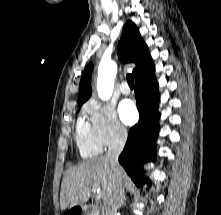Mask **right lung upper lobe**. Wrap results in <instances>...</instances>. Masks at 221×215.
Wrapping results in <instances>:
<instances>
[{
  "instance_id": "1",
  "label": "right lung upper lobe",
  "mask_w": 221,
  "mask_h": 215,
  "mask_svg": "<svg viewBox=\"0 0 221 215\" xmlns=\"http://www.w3.org/2000/svg\"><path fill=\"white\" fill-rule=\"evenodd\" d=\"M118 56L124 63L134 62L136 64V67L133 69L135 81L154 72V66L148 47L132 21H127L124 26L121 40L118 45ZM92 70L93 65L89 64L82 75L79 86L78 104H83L91 96Z\"/></svg>"
}]
</instances>
